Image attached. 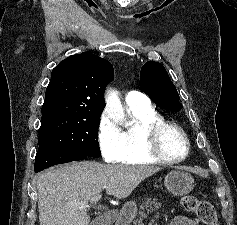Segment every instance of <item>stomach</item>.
<instances>
[{
    "label": "stomach",
    "mask_w": 237,
    "mask_h": 225,
    "mask_svg": "<svg viewBox=\"0 0 237 225\" xmlns=\"http://www.w3.org/2000/svg\"><path fill=\"white\" fill-rule=\"evenodd\" d=\"M164 185L166 189L175 196H183L191 192L194 187V179L187 172L181 170H173L169 172L165 179ZM122 214L124 218L131 221L137 214V205L130 201L125 203Z\"/></svg>",
    "instance_id": "0dacf381"
}]
</instances>
